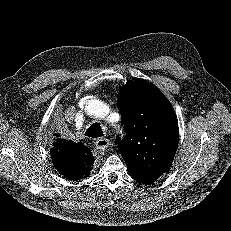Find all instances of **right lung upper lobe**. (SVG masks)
I'll list each match as a JSON object with an SVG mask.
<instances>
[{
    "label": "right lung upper lobe",
    "mask_w": 231,
    "mask_h": 231,
    "mask_svg": "<svg viewBox=\"0 0 231 231\" xmlns=\"http://www.w3.org/2000/svg\"><path fill=\"white\" fill-rule=\"evenodd\" d=\"M50 153L59 173L70 180H79L83 176H88L94 163V157L89 148L73 141L57 140Z\"/></svg>",
    "instance_id": "right-lung-upper-lobe-1"
}]
</instances>
